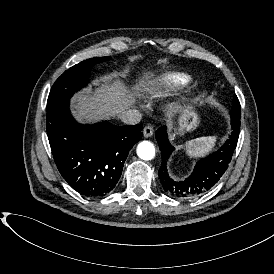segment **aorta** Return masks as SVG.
I'll list each match as a JSON object with an SVG mask.
<instances>
[{
  "instance_id": "obj_1",
  "label": "aorta",
  "mask_w": 274,
  "mask_h": 274,
  "mask_svg": "<svg viewBox=\"0 0 274 274\" xmlns=\"http://www.w3.org/2000/svg\"><path fill=\"white\" fill-rule=\"evenodd\" d=\"M137 155L143 160H151L155 156V148L150 141H142L137 146Z\"/></svg>"
}]
</instances>
